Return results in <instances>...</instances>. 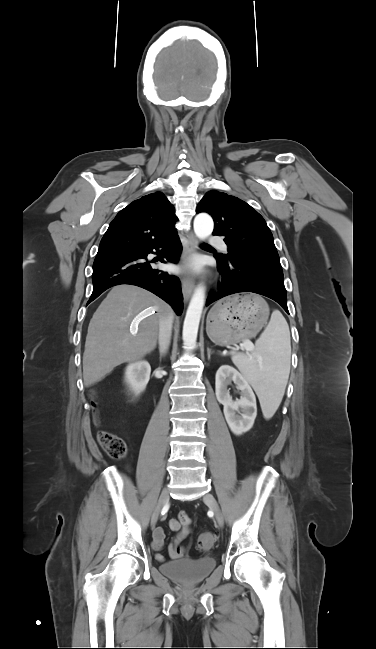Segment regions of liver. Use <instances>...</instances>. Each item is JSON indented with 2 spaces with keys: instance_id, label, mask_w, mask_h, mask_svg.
I'll return each instance as SVG.
<instances>
[{
  "instance_id": "obj_1",
  "label": "liver",
  "mask_w": 376,
  "mask_h": 649,
  "mask_svg": "<svg viewBox=\"0 0 376 649\" xmlns=\"http://www.w3.org/2000/svg\"><path fill=\"white\" fill-rule=\"evenodd\" d=\"M171 312L168 304L143 288L128 284L113 287L88 326L84 385L89 387L116 366L154 350L160 321Z\"/></svg>"
}]
</instances>
